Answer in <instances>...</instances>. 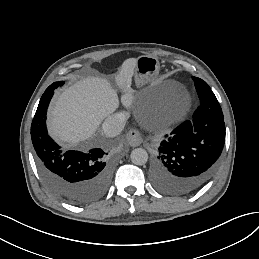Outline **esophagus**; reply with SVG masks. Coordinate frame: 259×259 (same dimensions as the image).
Wrapping results in <instances>:
<instances>
[{"label":"esophagus","mask_w":259,"mask_h":259,"mask_svg":"<svg viewBox=\"0 0 259 259\" xmlns=\"http://www.w3.org/2000/svg\"><path fill=\"white\" fill-rule=\"evenodd\" d=\"M126 139L132 147L139 146L143 141L140 132L136 129H131L126 136Z\"/></svg>","instance_id":"obj_1"}]
</instances>
